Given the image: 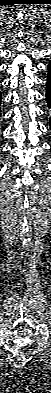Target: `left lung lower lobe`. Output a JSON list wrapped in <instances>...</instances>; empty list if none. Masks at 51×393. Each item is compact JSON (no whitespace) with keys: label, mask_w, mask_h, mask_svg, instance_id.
Wrapping results in <instances>:
<instances>
[{"label":"left lung lower lobe","mask_w":51,"mask_h":393,"mask_svg":"<svg viewBox=\"0 0 51 393\" xmlns=\"http://www.w3.org/2000/svg\"><path fill=\"white\" fill-rule=\"evenodd\" d=\"M48 74H47V82H46V98L49 106L51 107V64L47 65ZM50 128H51V118H50Z\"/></svg>","instance_id":"1"}]
</instances>
